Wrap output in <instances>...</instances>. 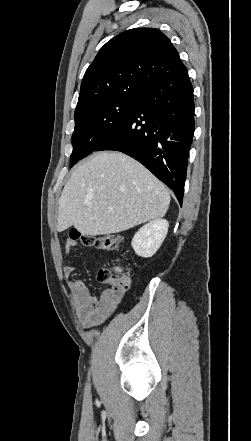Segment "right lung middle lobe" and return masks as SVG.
<instances>
[{
    "label": "right lung middle lobe",
    "mask_w": 251,
    "mask_h": 441,
    "mask_svg": "<svg viewBox=\"0 0 251 441\" xmlns=\"http://www.w3.org/2000/svg\"><path fill=\"white\" fill-rule=\"evenodd\" d=\"M140 100L139 94L109 97L90 103L76 112L70 167L106 141L135 110Z\"/></svg>",
    "instance_id": "right-lung-middle-lobe-1"
}]
</instances>
